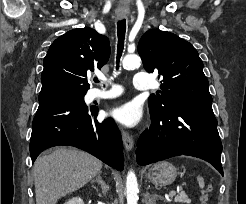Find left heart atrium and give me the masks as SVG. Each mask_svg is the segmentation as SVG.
Returning a JSON list of instances; mask_svg holds the SVG:
<instances>
[{
	"mask_svg": "<svg viewBox=\"0 0 246 204\" xmlns=\"http://www.w3.org/2000/svg\"><path fill=\"white\" fill-rule=\"evenodd\" d=\"M108 116L124 126L134 127L141 119V111L135 104L126 103L111 109Z\"/></svg>",
	"mask_w": 246,
	"mask_h": 204,
	"instance_id": "1",
	"label": "left heart atrium"
}]
</instances>
